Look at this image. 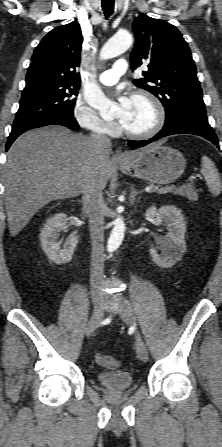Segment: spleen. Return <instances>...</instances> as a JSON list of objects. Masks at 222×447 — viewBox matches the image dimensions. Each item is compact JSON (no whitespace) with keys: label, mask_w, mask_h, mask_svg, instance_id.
<instances>
[{"label":"spleen","mask_w":222,"mask_h":447,"mask_svg":"<svg viewBox=\"0 0 222 447\" xmlns=\"http://www.w3.org/2000/svg\"><path fill=\"white\" fill-rule=\"evenodd\" d=\"M201 173L206 179L210 193L214 196L219 195L222 191L220 175L213 161L207 156L201 159Z\"/></svg>","instance_id":"obj_1"}]
</instances>
